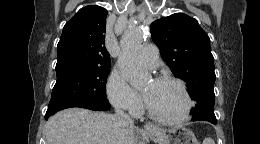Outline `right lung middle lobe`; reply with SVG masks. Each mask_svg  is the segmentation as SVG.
Here are the masks:
<instances>
[{
    "mask_svg": "<svg viewBox=\"0 0 260 144\" xmlns=\"http://www.w3.org/2000/svg\"><path fill=\"white\" fill-rule=\"evenodd\" d=\"M109 72L110 67L56 68L57 81L46 113L108 102L105 87Z\"/></svg>",
    "mask_w": 260,
    "mask_h": 144,
    "instance_id": "1",
    "label": "right lung middle lobe"
}]
</instances>
